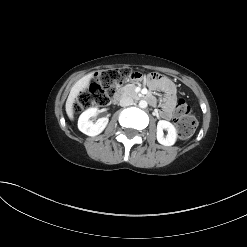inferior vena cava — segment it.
Returning a JSON list of instances; mask_svg holds the SVG:
<instances>
[{"mask_svg":"<svg viewBox=\"0 0 247 247\" xmlns=\"http://www.w3.org/2000/svg\"><path fill=\"white\" fill-rule=\"evenodd\" d=\"M120 106L126 107L133 104V99L130 96L123 95L119 102Z\"/></svg>","mask_w":247,"mask_h":247,"instance_id":"obj_1","label":"inferior vena cava"}]
</instances>
